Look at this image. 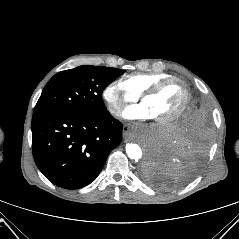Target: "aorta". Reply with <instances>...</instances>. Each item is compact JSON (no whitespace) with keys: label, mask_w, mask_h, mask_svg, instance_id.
Listing matches in <instances>:
<instances>
[{"label":"aorta","mask_w":239,"mask_h":239,"mask_svg":"<svg viewBox=\"0 0 239 239\" xmlns=\"http://www.w3.org/2000/svg\"><path fill=\"white\" fill-rule=\"evenodd\" d=\"M127 156L135 161H138L142 158V150L138 144L128 143L126 145Z\"/></svg>","instance_id":"aorta-1"}]
</instances>
